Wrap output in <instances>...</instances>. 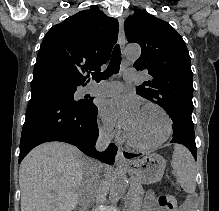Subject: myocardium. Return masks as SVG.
<instances>
[{
	"label": "myocardium",
	"mask_w": 219,
	"mask_h": 211,
	"mask_svg": "<svg viewBox=\"0 0 219 211\" xmlns=\"http://www.w3.org/2000/svg\"><path fill=\"white\" fill-rule=\"evenodd\" d=\"M145 108H155L162 113V115L164 116L165 121H166V129H165L164 135L159 140H157L156 142H153V143L137 142L131 137V135L129 134L128 131L126 132L125 136H126L127 142L133 147L141 148V149H153V148H157L158 146L165 143L169 139V137L171 136L172 130H173L172 119H171L169 113L167 112V110L157 103H153V102L145 103L142 105L141 110L145 109Z\"/></svg>",
	"instance_id": "1"
}]
</instances>
